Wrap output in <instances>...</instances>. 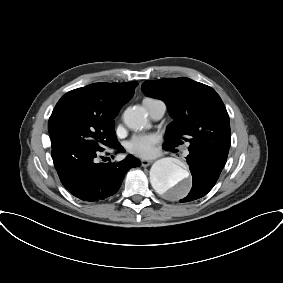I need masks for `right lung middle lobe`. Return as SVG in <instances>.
Segmentation results:
<instances>
[{"label": "right lung middle lobe", "instance_id": "right-lung-middle-lobe-1", "mask_svg": "<svg viewBox=\"0 0 283 283\" xmlns=\"http://www.w3.org/2000/svg\"><path fill=\"white\" fill-rule=\"evenodd\" d=\"M48 131L53 159L64 158L83 148L102 151L118 143L114 122H104L73 97L65 95L49 118Z\"/></svg>", "mask_w": 283, "mask_h": 283}]
</instances>
